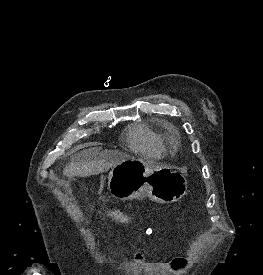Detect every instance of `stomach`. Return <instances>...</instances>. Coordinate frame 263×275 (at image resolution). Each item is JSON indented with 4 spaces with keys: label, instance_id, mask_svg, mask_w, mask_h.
<instances>
[{
    "label": "stomach",
    "instance_id": "stomach-1",
    "mask_svg": "<svg viewBox=\"0 0 263 275\" xmlns=\"http://www.w3.org/2000/svg\"><path fill=\"white\" fill-rule=\"evenodd\" d=\"M112 197L125 201L147 196L157 203H173L187 193L183 174L166 166H155L138 158L115 165L108 176Z\"/></svg>",
    "mask_w": 263,
    "mask_h": 275
}]
</instances>
